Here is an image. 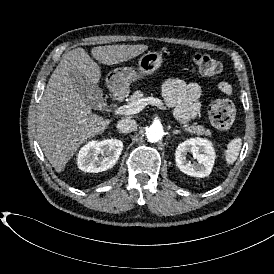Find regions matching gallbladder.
<instances>
[{"instance_id": "obj_1", "label": "gallbladder", "mask_w": 274, "mask_h": 274, "mask_svg": "<svg viewBox=\"0 0 274 274\" xmlns=\"http://www.w3.org/2000/svg\"><path fill=\"white\" fill-rule=\"evenodd\" d=\"M70 85L76 87L83 99L91 106H99L105 100L104 91L92 82L84 72L74 70L68 76Z\"/></svg>"}]
</instances>
